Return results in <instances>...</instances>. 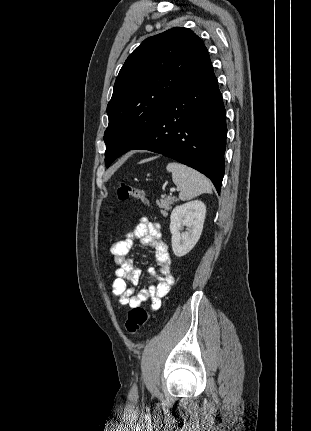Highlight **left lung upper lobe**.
I'll return each mask as SVG.
<instances>
[{"mask_svg":"<svg viewBox=\"0 0 311 431\" xmlns=\"http://www.w3.org/2000/svg\"><path fill=\"white\" fill-rule=\"evenodd\" d=\"M207 54L203 41L193 31L175 27L144 40L129 55L107 106V167L147 137Z\"/></svg>","mask_w":311,"mask_h":431,"instance_id":"left-lung-upper-lobe-1","label":"left lung upper lobe"}]
</instances>
